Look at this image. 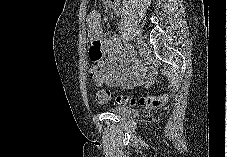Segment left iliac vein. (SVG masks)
Listing matches in <instances>:
<instances>
[{
	"instance_id": "obj_1",
	"label": "left iliac vein",
	"mask_w": 227,
	"mask_h": 157,
	"mask_svg": "<svg viewBox=\"0 0 227 157\" xmlns=\"http://www.w3.org/2000/svg\"><path fill=\"white\" fill-rule=\"evenodd\" d=\"M138 42V48H139V52L140 54L145 57L149 54V48L147 46V44L145 43V40L143 39V37L140 35V40L137 41Z\"/></svg>"
}]
</instances>
